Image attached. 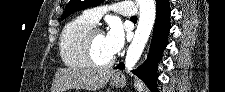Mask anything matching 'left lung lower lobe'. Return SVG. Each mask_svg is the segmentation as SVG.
<instances>
[{
  "label": "left lung lower lobe",
  "mask_w": 225,
  "mask_h": 92,
  "mask_svg": "<svg viewBox=\"0 0 225 92\" xmlns=\"http://www.w3.org/2000/svg\"><path fill=\"white\" fill-rule=\"evenodd\" d=\"M170 7L169 0H156V21L153 31L151 48L147 61L138 69L133 70L152 92H157L156 78L157 64L155 60L161 56L163 49L167 46V36L170 30ZM114 69H124L121 62Z\"/></svg>",
  "instance_id": "obj_1"
}]
</instances>
